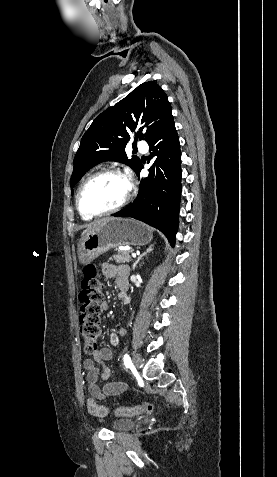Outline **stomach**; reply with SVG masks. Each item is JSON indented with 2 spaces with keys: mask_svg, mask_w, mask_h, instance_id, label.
<instances>
[{
  "mask_svg": "<svg viewBox=\"0 0 277 477\" xmlns=\"http://www.w3.org/2000/svg\"><path fill=\"white\" fill-rule=\"evenodd\" d=\"M152 239V230L137 220L107 218L83 233L78 243V258L82 264H88L112 248L144 246Z\"/></svg>",
  "mask_w": 277,
  "mask_h": 477,
  "instance_id": "0dacf381",
  "label": "stomach"
}]
</instances>
